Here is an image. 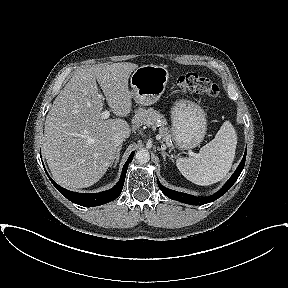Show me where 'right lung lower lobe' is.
I'll list each match as a JSON object with an SVG mask.
<instances>
[{
  "instance_id": "1",
  "label": "right lung lower lobe",
  "mask_w": 288,
  "mask_h": 288,
  "mask_svg": "<svg viewBox=\"0 0 288 288\" xmlns=\"http://www.w3.org/2000/svg\"><path fill=\"white\" fill-rule=\"evenodd\" d=\"M133 157H134V152L131 153L128 160L126 161L118 183L112 189L104 191V192H100V193L83 194V193L72 192V191H69L60 187L49 176L48 177L50 181L53 183V185L57 188V190L71 202L84 206V207L98 206V205H102L107 202L113 201L120 195L123 189L128 165L133 160Z\"/></svg>"
}]
</instances>
